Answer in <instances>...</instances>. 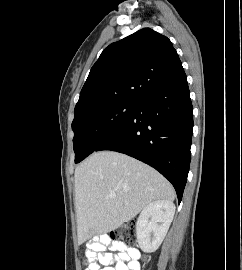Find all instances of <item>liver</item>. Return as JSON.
I'll return each mask as SVG.
<instances>
[{
    "label": "liver",
    "mask_w": 242,
    "mask_h": 270,
    "mask_svg": "<svg viewBox=\"0 0 242 270\" xmlns=\"http://www.w3.org/2000/svg\"><path fill=\"white\" fill-rule=\"evenodd\" d=\"M74 178L79 244L119 228L153 201L175 199L160 173L114 151L90 155L76 167Z\"/></svg>",
    "instance_id": "liver-1"
}]
</instances>
